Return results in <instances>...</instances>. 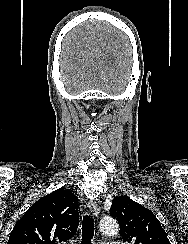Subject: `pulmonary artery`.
Returning a JSON list of instances; mask_svg holds the SVG:
<instances>
[{"label": "pulmonary artery", "instance_id": "1", "mask_svg": "<svg viewBox=\"0 0 188 244\" xmlns=\"http://www.w3.org/2000/svg\"><path fill=\"white\" fill-rule=\"evenodd\" d=\"M107 244H119L118 242H108Z\"/></svg>", "mask_w": 188, "mask_h": 244}]
</instances>
